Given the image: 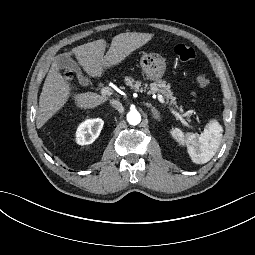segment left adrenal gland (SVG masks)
Instances as JSON below:
<instances>
[{
    "instance_id": "1",
    "label": "left adrenal gland",
    "mask_w": 255,
    "mask_h": 255,
    "mask_svg": "<svg viewBox=\"0 0 255 255\" xmlns=\"http://www.w3.org/2000/svg\"><path fill=\"white\" fill-rule=\"evenodd\" d=\"M146 105L152 109V111H153V113H154L155 119H158V112H157V109L154 108L150 103H146Z\"/></svg>"
}]
</instances>
